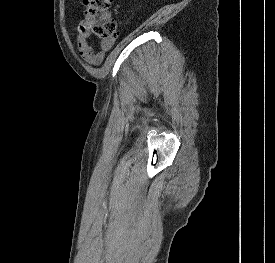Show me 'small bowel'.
Returning a JSON list of instances; mask_svg holds the SVG:
<instances>
[{
    "label": "small bowel",
    "mask_w": 275,
    "mask_h": 263,
    "mask_svg": "<svg viewBox=\"0 0 275 263\" xmlns=\"http://www.w3.org/2000/svg\"><path fill=\"white\" fill-rule=\"evenodd\" d=\"M114 41L102 42L99 50H95L89 43V35L85 31L82 24H80L77 35V46L80 56L87 61L90 65L100 64L105 56V52L110 50Z\"/></svg>",
    "instance_id": "1"
}]
</instances>
